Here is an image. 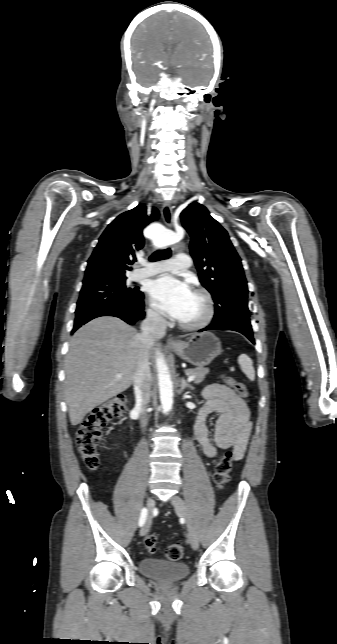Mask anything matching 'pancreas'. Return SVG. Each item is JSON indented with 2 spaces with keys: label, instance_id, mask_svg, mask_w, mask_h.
<instances>
[{
  "label": "pancreas",
  "instance_id": "pancreas-1",
  "mask_svg": "<svg viewBox=\"0 0 337 644\" xmlns=\"http://www.w3.org/2000/svg\"><path fill=\"white\" fill-rule=\"evenodd\" d=\"M208 372H209V369L207 368H194V369L185 370V374L187 376H192V375L196 376V378L194 379L195 384L201 383Z\"/></svg>",
  "mask_w": 337,
  "mask_h": 644
}]
</instances>
